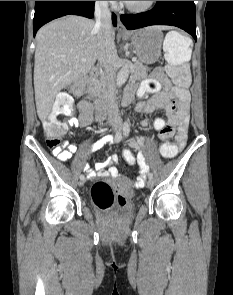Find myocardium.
Wrapping results in <instances>:
<instances>
[{"instance_id":"f54148a6","label":"myocardium","mask_w":233,"mask_h":295,"mask_svg":"<svg viewBox=\"0 0 233 295\" xmlns=\"http://www.w3.org/2000/svg\"><path fill=\"white\" fill-rule=\"evenodd\" d=\"M125 3V8L132 12V13H136V14H140V13H145L147 11H149L150 9L153 8V6L155 5L156 1H148L146 4L142 5V6H132L130 4H128L127 2Z\"/></svg>"}]
</instances>
